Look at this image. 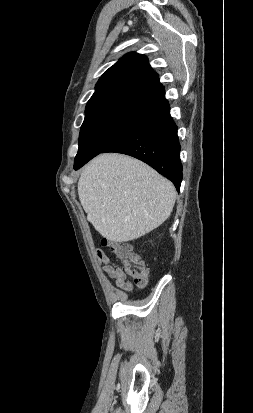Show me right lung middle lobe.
Instances as JSON below:
<instances>
[{"label": "right lung middle lobe", "mask_w": 253, "mask_h": 413, "mask_svg": "<svg viewBox=\"0 0 253 413\" xmlns=\"http://www.w3.org/2000/svg\"><path fill=\"white\" fill-rule=\"evenodd\" d=\"M148 117L131 113H105L85 118L79 135V149L74 167L88 162L108 147L121 140Z\"/></svg>", "instance_id": "obj_1"}]
</instances>
